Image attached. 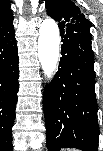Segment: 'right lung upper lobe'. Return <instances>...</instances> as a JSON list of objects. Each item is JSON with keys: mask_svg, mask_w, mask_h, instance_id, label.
I'll return each mask as SVG.
<instances>
[{"mask_svg": "<svg viewBox=\"0 0 103 151\" xmlns=\"http://www.w3.org/2000/svg\"><path fill=\"white\" fill-rule=\"evenodd\" d=\"M13 23V16L10 10V2L8 0L3 1L0 10V32L7 31Z\"/></svg>", "mask_w": 103, "mask_h": 151, "instance_id": "1", "label": "right lung upper lobe"}]
</instances>
